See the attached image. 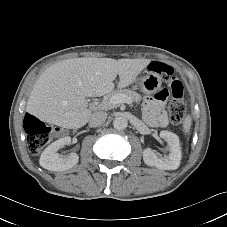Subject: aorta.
I'll list each match as a JSON object with an SVG mask.
<instances>
[{
	"label": "aorta",
	"instance_id": "762f6f07",
	"mask_svg": "<svg viewBox=\"0 0 227 227\" xmlns=\"http://www.w3.org/2000/svg\"><path fill=\"white\" fill-rule=\"evenodd\" d=\"M128 126V121L125 117H116L113 121V127L117 130H123Z\"/></svg>",
	"mask_w": 227,
	"mask_h": 227
}]
</instances>
